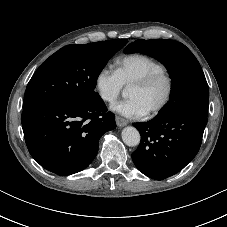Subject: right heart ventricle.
Wrapping results in <instances>:
<instances>
[{
  "label": "right heart ventricle",
  "mask_w": 227,
  "mask_h": 227,
  "mask_svg": "<svg viewBox=\"0 0 227 227\" xmlns=\"http://www.w3.org/2000/svg\"><path fill=\"white\" fill-rule=\"evenodd\" d=\"M162 70H165L163 64L142 54L127 55L115 62V72L123 86H129L137 79Z\"/></svg>",
  "instance_id": "1"
}]
</instances>
